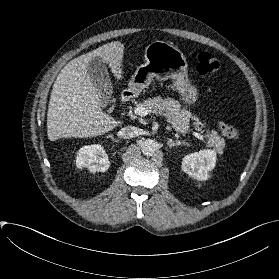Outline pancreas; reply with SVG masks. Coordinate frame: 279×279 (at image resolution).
Instances as JSON below:
<instances>
[{
    "label": "pancreas",
    "instance_id": "pancreas-1",
    "mask_svg": "<svg viewBox=\"0 0 279 279\" xmlns=\"http://www.w3.org/2000/svg\"><path fill=\"white\" fill-rule=\"evenodd\" d=\"M148 109L149 113L164 116L179 133H186L190 127V120H195L193 125L197 130H201L199 118L193 116L190 111L181 108V104L173 98L153 97L144 100L139 104ZM208 146L214 147L218 152H222L225 140L216 131H211L205 135Z\"/></svg>",
    "mask_w": 279,
    "mask_h": 279
}]
</instances>
